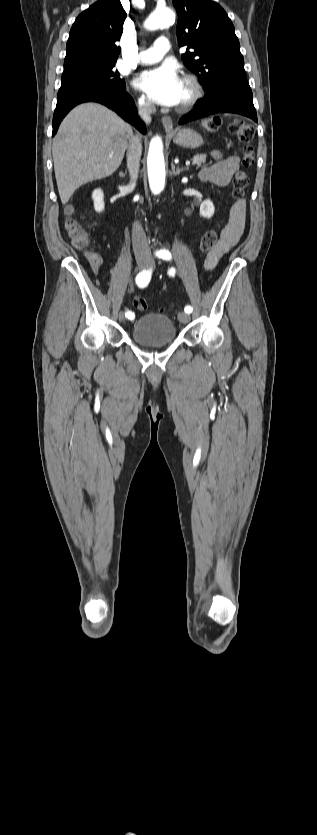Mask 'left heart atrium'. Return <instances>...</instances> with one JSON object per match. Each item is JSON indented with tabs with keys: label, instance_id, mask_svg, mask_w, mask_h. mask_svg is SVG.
<instances>
[{
	"label": "left heart atrium",
	"instance_id": "1",
	"mask_svg": "<svg viewBox=\"0 0 317 835\" xmlns=\"http://www.w3.org/2000/svg\"><path fill=\"white\" fill-rule=\"evenodd\" d=\"M138 85L157 104L173 106L180 101L182 80L170 63L143 72Z\"/></svg>",
	"mask_w": 317,
	"mask_h": 835
}]
</instances>
